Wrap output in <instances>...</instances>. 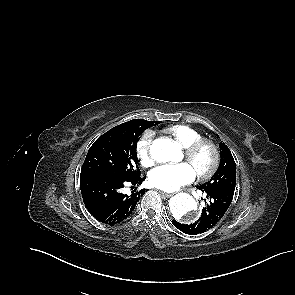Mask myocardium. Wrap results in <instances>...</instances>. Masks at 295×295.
<instances>
[{
  "label": "myocardium",
  "instance_id": "myocardium-1",
  "mask_svg": "<svg viewBox=\"0 0 295 295\" xmlns=\"http://www.w3.org/2000/svg\"><path fill=\"white\" fill-rule=\"evenodd\" d=\"M203 148H208L211 151L212 162L207 169L198 171L196 173L200 179H208L216 172L219 167L220 152L217 145L211 140L201 139L184 148V154L185 157L190 160L194 158Z\"/></svg>",
  "mask_w": 295,
  "mask_h": 295
}]
</instances>
